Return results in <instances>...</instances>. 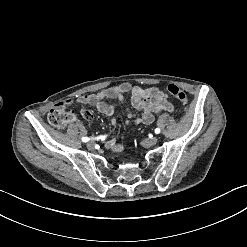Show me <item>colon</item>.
<instances>
[{
  "mask_svg": "<svg viewBox=\"0 0 247 247\" xmlns=\"http://www.w3.org/2000/svg\"><path fill=\"white\" fill-rule=\"evenodd\" d=\"M168 92L178 99L185 107L189 105V97L186 91L181 89L176 84H168L167 85ZM72 114L73 111H59L57 109H53L48 114L49 123L55 128H63L68 123L72 122Z\"/></svg>",
  "mask_w": 247,
  "mask_h": 247,
  "instance_id": "1",
  "label": "colon"
}]
</instances>
